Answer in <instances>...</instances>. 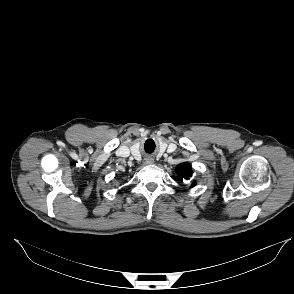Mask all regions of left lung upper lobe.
<instances>
[{"instance_id":"5c2ea615","label":"left lung upper lobe","mask_w":294,"mask_h":294,"mask_svg":"<svg viewBox=\"0 0 294 294\" xmlns=\"http://www.w3.org/2000/svg\"><path fill=\"white\" fill-rule=\"evenodd\" d=\"M176 172L180 179H188L190 176H192L191 166L188 163H183L179 165L176 168ZM195 182L192 184V186H195Z\"/></svg>"}]
</instances>
